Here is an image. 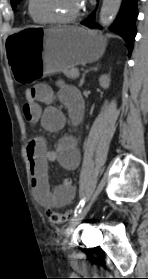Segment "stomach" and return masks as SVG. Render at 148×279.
I'll list each match as a JSON object with an SVG mask.
<instances>
[{"label": "stomach", "mask_w": 148, "mask_h": 279, "mask_svg": "<svg viewBox=\"0 0 148 279\" xmlns=\"http://www.w3.org/2000/svg\"><path fill=\"white\" fill-rule=\"evenodd\" d=\"M6 44L8 49H20L7 50L10 78H15L19 87H28L32 82H43L47 73L97 61L107 43L97 32L79 27L43 29L28 25L9 34Z\"/></svg>", "instance_id": "obj_1"}]
</instances>
